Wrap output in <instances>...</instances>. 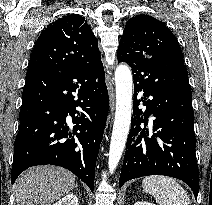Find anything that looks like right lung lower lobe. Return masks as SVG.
<instances>
[{
	"instance_id": "right-lung-lower-lobe-1",
	"label": "right lung lower lobe",
	"mask_w": 212,
	"mask_h": 205,
	"mask_svg": "<svg viewBox=\"0 0 212 205\" xmlns=\"http://www.w3.org/2000/svg\"><path fill=\"white\" fill-rule=\"evenodd\" d=\"M22 100L12 184L27 168L51 164L70 170L93 191L109 103L103 65L26 78Z\"/></svg>"
}]
</instances>
